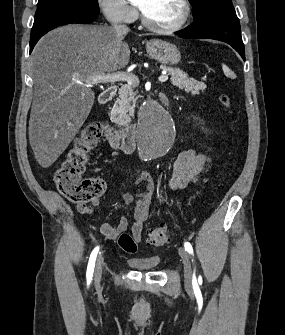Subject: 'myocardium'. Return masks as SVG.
Segmentation results:
<instances>
[{
    "label": "myocardium",
    "instance_id": "myocardium-1",
    "mask_svg": "<svg viewBox=\"0 0 285 335\" xmlns=\"http://www.w3.org/2000/svg\"><path fill=\"white\" fill-rule=\"evenodd\" d=\"M181 7L183 8L184 14L182 19L175 24L172 27H156L154 25H152L149 20L146 18L144 11L141 7V5H137L138 6V10L140 12V22L141 25L149 32L153 33V34H172V33H176L179 32L180 30H182L184 28V26L187 24V22L190 19L191 16V7L188 1H177Z\"/></svg>",
    "mask_w": 285,
    "mask_h": 335
}]
</instances>
